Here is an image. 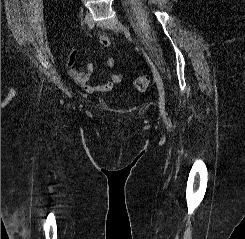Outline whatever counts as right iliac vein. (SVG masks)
Wrapping results in <instances>:
<instances>
[{
	"label": "right iliac vein",
	"instance_id": "obj_1",
	"mask_svg": "<svg viewBox=\"0 0 245 239\" xmlns=\"http://www.w3.org/2000/svg\"><path fill=\"white\" fill-rule=\"evenodd\" d=\"M84 22H85V24H87V25H89V24L92 23V15H91L89 12H87V13L85 14Z\"/></svg>",
	"mask_w": 245,
	"mask_h": 239
}]
</instances>
